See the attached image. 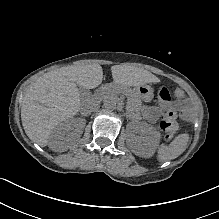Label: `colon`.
Returning <instances> with one entry per match:
<instances>
[{
    "label": "colon",
    "instance_id": "colon-1",
    "mask_svg": "<svg viewBox=\"0 0 219 219\" xmlns=\"http://www.w3.org/2000/svg\"><path fill=\"white\" fill-rule=\"evenodd\" d=\"M175 98L182 99L185 97L184 90L177 86L173 91ZM160 128L164 132L167 139H171L178 130L177 115L174 111L168 110L161 115Z\"/></svg>",
    "mask_w": 219,
    "mask_h": 219
}]
</instances>
